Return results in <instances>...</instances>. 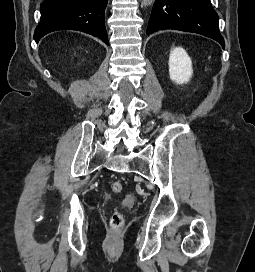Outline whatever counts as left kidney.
<instances>
[{
  "label": "left kidney",
  "mask_w": 255,
  "mask_h": 272,
  "mask_svg": "<svg viewBox=\"0 0 255 272\" xmlns=\"http://www.w3.org/2000/svg\"><path fill=\"white\" fill-rule=\"evenodd\" d=\"M168 65L170 79L176 84L187 83L192 77V61L182 47L171 50Z\"/></svg>",
  "instance_id": "left-kidney-1"
}]
</instances>
